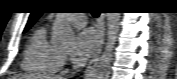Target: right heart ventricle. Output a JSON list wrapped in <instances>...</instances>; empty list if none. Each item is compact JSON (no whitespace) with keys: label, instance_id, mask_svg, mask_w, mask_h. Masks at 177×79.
<instances>
[{"label":"right heart ventricle","instance_id":"e07e8e85","mask_svg":"<svg viewBox=\"0 0 177 79\" xmlns=\"http://www.w3.org/2000/svg\"><path fill=\"white\" fill-rule=\"evenodd\" d=\"M62 64L63 55L49 42L47 28H37L23 52V70L52 75L60 71Z\"/></svg>","mask_w":177,"mask_h":79}]
</instances>
